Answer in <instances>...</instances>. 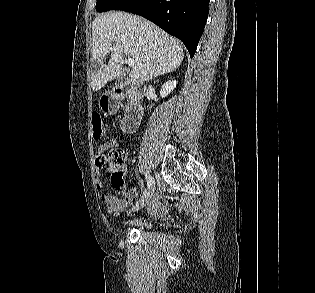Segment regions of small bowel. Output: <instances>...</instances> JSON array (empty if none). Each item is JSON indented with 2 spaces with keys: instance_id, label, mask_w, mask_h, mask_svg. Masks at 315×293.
I'll return each mask as SVG.
<instances>
[{
  "instance_id": "obj_1",
  "label": "small bowel",
  "mask_w": 315,
  "mask_h": 293,
  "mask_svg": "<svg viewBox=\"0 0 315 293\" xmlns=\"http://www.w3.org/2000/svg\"><path fill=\"white\" fill-rule=\"evenodd\" d=\"M120 138H111L106 143L100 146L97 152V156L102 155L105 151L115 145ZM96 188L101 190L103 188V184L100 179H96ZM128 190L126 195L128 197L124 199H119L111 194H104L101 196V200L106 204L108 211L112 213L123 211L130 202H135L136 200V189ZM148 210L153 215L164 216L169 213V206L166 200L162 196H155L149 204Z\"/></svg>"
}]
</instances>
